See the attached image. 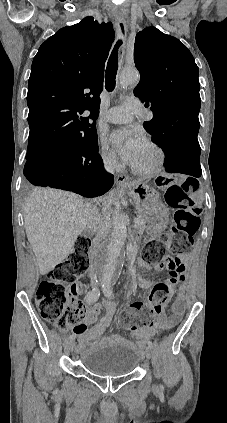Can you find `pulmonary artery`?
I'll use <instances>...</instances> for the list:
<instances>
[{"instance_id": "pulmonary-artery-1", "label": "pulmonary artery", "mask_w": 227, "mask_h": 423, "mask_svg": "<svg viewBox=\"0 0 227 423\" xmlns=\"http://www.w3.org/2000/svg\"><path fill=\"white\" fill-rule=\"evenodd\" d=\"M136 104L132 100H127L121 105L111 108L103 115L104 120L112 124H127L133 121V112ZM137 120H152V111H137Z\"/></svg>"}]
</instances>
